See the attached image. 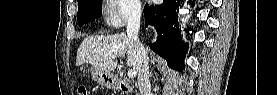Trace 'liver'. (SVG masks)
I'll list each match as a JSON object with an SVG mask.
<instances>
[{"label": "liver", "mask_w": 277, "mask_h": 95, "mask_svg": "<svg viewBox=\"0 0 277 95\" xmlns=\"http://www.w3.org/2000/svg\"><path fill=\"white\" fill-rule=\"evenodd\" d=\"M127 54L126 64L136 69V52L131 39L124 33L84 38L77 51L76 66L88 63L111 72L117 66V58Z\"/></svg>", "instance_id": "obj_1"}]
</instances>
